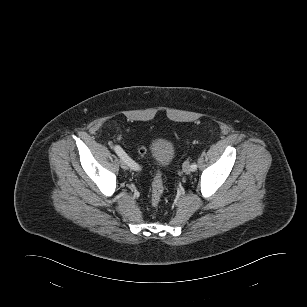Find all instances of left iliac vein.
<instances>
[{
  "label": "left iliac vein",
  "instance_id": "left-iliac-vein-1",
  "mask_svg": "<svg viewBox=\"0 0 307 307\" xmlns=\"http://www.w3.org/2000/svg\"><path fill=\"white\" fill-rule=\"evenodd\" d=\"M183 172L185 173V174H189L190 172H191V166H190V163L189 162H184V164H183Z\"/></svg>",
  "mask_w": 307,
  "mask_h": 307
}]
</instances>
